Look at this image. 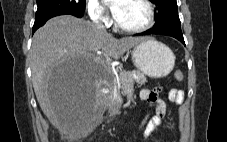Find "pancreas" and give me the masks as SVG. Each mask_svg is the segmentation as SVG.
I'll list each match as a JSON object with an SVG mask.
<instances>
[{
    "label": "pancreas",
    "mask_w": 227,
    "mask_h": 142,
    "mask_svg": "<svg viewBox=\"0 0 227 142\" xmlns=\"http://www.w3.org/2000/svg\"><path fill=\"white\" fill-rule=\"evenodd\" d=\"M135 76L138 78L136 82L139 85H144L147 82L146 76L139 70L134 71H121L116 81V89L123 96H126L129 92V89L135 82Z\"/></svg>",
    "instance_id": "1"
}]
</instances>
